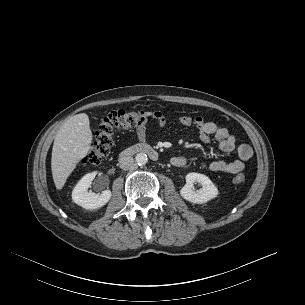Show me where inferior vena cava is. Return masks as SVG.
Instances as JSON below:
<instances>
[{"mask_svg": "<svg viewBox=\"0 0 305 305\" xmlns=\"http://www.w3.org/2000/svg\"><path fill=\"white\" fill-rule=\"evenodd\" d=\"M134 159L131 156H123L119 159V166L123 170H128L132 167Z\"/></svg>", "mask_w": 305, "mask_h": 305, "instance_id": "1", "label": "inferior vena cava"}]
</instances>
